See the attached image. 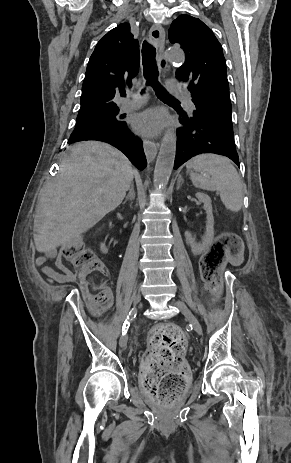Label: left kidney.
<instances>
[{
  "mask_svg": "<svg viewBox=\"0 0 291 463\" xmlns=\"http://www.w3.org/2000/svg\"><path fill=\"white\" fill-rule=\"evenodd\" d=\"M197 199L203 203V208L206 212V231L201 242H196V239L189 231L185 232L186 243L190 245L194 254H201L204 252L214 237V217L212 213L211 198L204 193H196Z\"/></svg>",
  "mask_w": 291,
  "mask_h": 463,
  "instance_id": "obj_1",
  "label": "left kidney"
}]
</instances>
